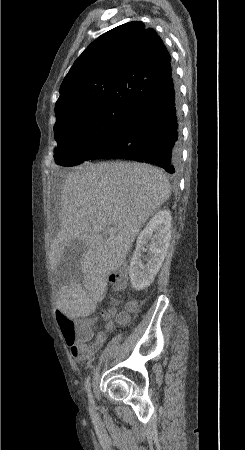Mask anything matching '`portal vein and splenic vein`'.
Wrapping results in <instances>:
<instances>
[{"instance_id": "1", "label": "portal vein and splenic vein", "mask_w": 245, "mask_h": 450, "mask_svg": "<svg viewBox=\"0 0 245 450\" xmlns=\"http://www.w3.org/2000/svg\"><path fill=\"white\" fill-rule=\"evenodd\" d=\"M93 228H94L95 231H98V232H103L104 231L105 233H107L109 235H113V234H115L117 232L116 228H107V229H105L102 226L97 225V224L93 225Z\"/></svg>"}]
</instances>
